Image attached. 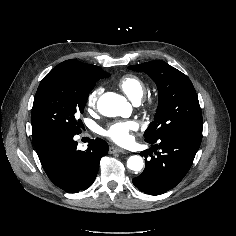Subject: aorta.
Wrapping results in <instances>:
<instances>
[{
    "label": "aorta",
    "mask_w": 236,
    "mask_h": 236,
    "mask_svg": "<svg viewBox=\"0 0 236 236\" xmlns=\"http://www.w3.org/2000/svg\"><path fill=\"white\" fill-rule=\"evenodd\" d=\"M97 108L104 116L116 117L122 116L130 109V105L123 96L113 92H107L99 98ZM143 165V159L139 155H133L127 160V167L134 172L141 171Z\"/></svg>",
    "instance_id": "aorta-1"
}]
</instances>
